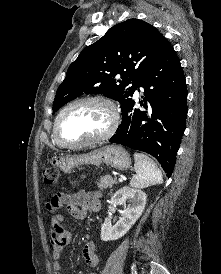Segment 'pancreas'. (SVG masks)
<instances>
[{
    "label": "pancreas",
    "instance_id": "cf45deb5",
    "mask_svg": "<svg viewBox=\"0 0 221 274\" xmlns=\"http://www.w3.org/2000/svg\"><path fill=\"white\" fill-rule=\"evenodd\" d=\"M114 184H117V178H113L111 175H105L100 177L97 182V187L100 190H104L108 187H112Z\"/></svg>",
    "mask_w": 221,
    "mask_h": 274
}]
</instances>
